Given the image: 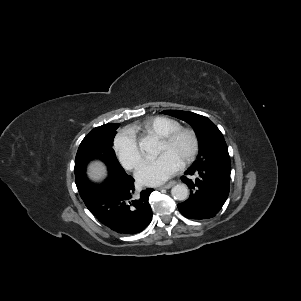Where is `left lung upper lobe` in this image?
<instances>
[{
    "label": "left lung upper lobe",
    "instance_id": "left-lung-upper-lobe-1",
    "mask_svg": "<svg viewBox=\"0 0 301 301\" xmlns=\"http://www.w3.org/2000/svg\"><path fill=\"white\" fill-rule=\"evenodd\" d=\"M162 113L186 121L196 131L199 139V154L196 161L192 164L193 167L231 169L228 148L223 135L218 127L207 117L180 110H165Z\"/></svg>",
    "mask_w": 301,
    "mask_h": 301
}]
</instances>
